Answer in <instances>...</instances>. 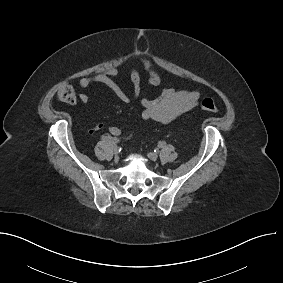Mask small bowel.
<instances>
[{
  "label": "small bowel",
  "mask_w": 283,
  "mask_h": 283,
  "mask_svg": "<svg viewBox=\"0 0 283 283\" xmlns=\"http://www.w3.org/2000/svg\"><path fill=\"white\" fill-rule=\"evenodd\" d=\"M139 60L147 74L146 84L148 86H158L161 83V76L154 64L145 57H141ZM128 71L133 86V98H139L142 83L140 71L134 66H129ZM117 77L118 70L111 67L93 76L81 78L79 86L85 89L94 83L102 84L108 87L121 102L130 103L132 98L118 84ZM199 98L200 94L197 91L177 90L173 87H168L163 89L157 98L142 97L140 99L143 107L141 117L144 120H153L166 124L195 108L198 105ZM79 100L86 104L89 101V97L81 93ZM100 127L101 125L96 126L93 131ZM109 132L115 137H123L121 129L117 126H111ZM130 138L131 135L123 137L125 140Z\"/></svg>",
  "instance_id": "obj_1"
}]
</instances>
